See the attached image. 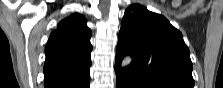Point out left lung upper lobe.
<instances>
[{
  "label": "left lung upper lobe",
  "mask_w": 223,
  "mask_h": 88,
  "mask_svg": "<svg viewBox=\"0 0 223 88\" xmlns=\"http://www.w3.org/2000/svg\"><path fill=\"white\" fill-rule=\"evenodd\" d=\"M128 53L133 60L125 70L148 88H193V65L181 32L138 4L122 19L116 63Z\"/></svg>",
  "instance_id": "5c2ea615"
}]
</instances>
